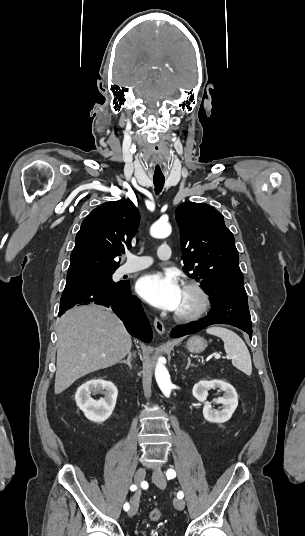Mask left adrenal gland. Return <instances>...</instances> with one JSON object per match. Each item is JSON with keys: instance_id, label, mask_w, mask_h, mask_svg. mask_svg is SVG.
<instances>
[{"instance_id": "obj_1", "label": "left adrenal gland", "mask_w": 305, "mask_h": 536, "mask_svg": "<svg viewBox=\"0 0 305 536\" xmlns=\"http://www.w3.org/2000/svg\"><path fill=\"white\" fill-rule=\"evenodd\" d=\"M187 360H188V364H187L185 370H188L189 366H194V364H191L190 358H187Z\"/></svg>"}]
</instances>
